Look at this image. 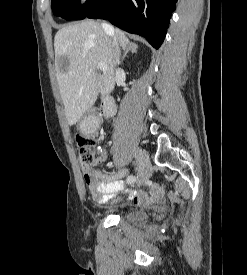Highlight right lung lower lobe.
<instances>
[{"mask_svg": "<svg viewBox=\"0 0 247 275\" xmlns=\"http://www.w3.org/2000/svg\"><path fill=\"white\" fill-rule=\"evenodd\" d=\"M177 0H105L86 17L107 19L113 25L144 36L159 48L166 35Z\"/></svg>", "mask_w": 247, "mask_h": 275, "instance_id": "1", "label": "right lung lower lobe"}]
</instances>
